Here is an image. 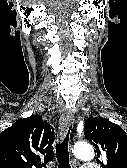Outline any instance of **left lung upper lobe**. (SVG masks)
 <instances>
[{
	"label": "left lung upper lobe",
	"mask_w": 127,
	"mask_h": 168,
	"mask_svg": "<svg viewBox=\"0 0 127 168\" xmlns=\"http://www.w3.org/2000/svg\"><path fill=\"white\" fill-rule=\"evenodd\" d=\"M84 131L96 148V160L102 168H127V134L119 125L103 117H90Z\"/></svg>",
	"instance_id": "5c2ea615"
}]
</instances>
